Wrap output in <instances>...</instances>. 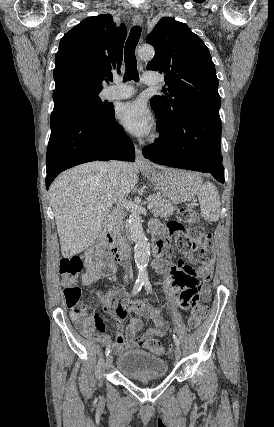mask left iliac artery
Wrapping results in <instances>:
<instances>
[{
	"label": "left iliac artery",
	"mask_w": 274,
	"mask_h": 427,
	"mask_svg": "<svg viewBox=\"0 0 274 427\" xmlns=\"http://www.w3.org/2000/svg\"><path fill=\"white\" fill-rule=\"evenodd\" d=\"M143 284H144V286H145V289H146L149 293H152V285H151L150 281H149V280H145ZM173 339H174L175 344L179 346V345H180V342H179L178 337H177L175 334H173Z\"/></svg>",
	"instance_id": "obj_1"
}]
</instances>
